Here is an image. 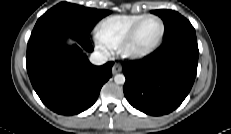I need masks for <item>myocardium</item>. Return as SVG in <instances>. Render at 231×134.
<instances>
[{
    "label": "myocardium",
    "instance_id": "myocardium-1",
    "mask_svg": "<svg viewBox=\"0 0 231 134\" xmlns=\"http://www.w3.org/2000/svg\"><path fill=\"white\" fill-rule=\"evenodd\" d=\"M150 18H156L160 21L161 23V34L158 38V40L156 41V43L151 46L150 48L143 50V51H136L133 49V43L134 40L138 34L139 29L141 28L142 24L150 19ZM165 32H166V25L164 20L156 15V14H147L144 17H142L129 31V33L127 34V36L125 37V39L123 40V42L121 43V45L119 46V52L120 54L127 59H132V60H136V59H142L145 57H148L149 55H151L152 53H154L162 44L164 36H165Z\"/></svg>",
    "mask_w": 231,
    "mask_h": 134
}]
</instances>
